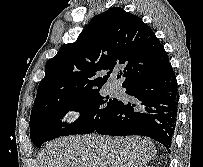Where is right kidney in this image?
Here are the masks:
<instances>
[{"instance_id":"1","label":"right kidney","mask_w":203,"mask_h":167,"mask_svg":"<svg viewBox=\"0 0 203 167\" xmlns=\"http://www.w3.org/2000/svg\"><path fill=\"white\" fill-rule=\"evenodd\" d=\"M145 167H153V166H145Z\"/></svg>"}]
</instances>
